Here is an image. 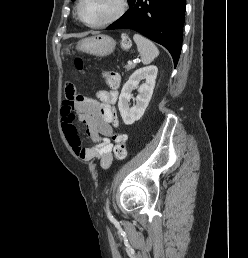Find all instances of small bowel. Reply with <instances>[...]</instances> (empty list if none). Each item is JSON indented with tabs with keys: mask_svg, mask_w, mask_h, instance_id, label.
<instances>
[{
	"mask_svg": "<svg viewBox=\"0 0 248 258\" xmlns=\"http://www.w3.org/2000/svg\"><path fill=\"white\" fill-rule=\"evenodd\" d=\"M118 91L100 90L96 98L79 97L72 85H67L62 107V128L74 155L84 162L99 160L103 169L112 162L113 144L111 136L117 126L115 104ZM75 121L86 126V133L92 140L90 147H83Z\"/></svg>",
	"mask_w": 248,
	"mask_h": 258,
	"instance_id": "1",
	"label": "small bowel"
}]
</instances>
